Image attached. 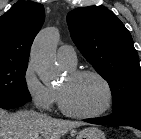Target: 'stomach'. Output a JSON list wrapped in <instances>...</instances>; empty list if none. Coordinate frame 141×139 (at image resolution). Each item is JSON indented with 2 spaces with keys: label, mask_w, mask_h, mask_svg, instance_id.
I'll return each mask as SVG.
<instances>
[{
  "label": "stomach",
  "mask_w": 141,
  "mask_h": 139,
  "mask_svg": "<svg viewBox=\"0 0 141 139\" xmlns=\"http://www.w3.org/2000/svg\"><path fill=\"white\" fill-rule=\"evenodd\" d=\"M76 139H106L104 133L97 127L84 128L77 135Z\"/></svg>",
  "instance_id": "stomach-1"
}]
</instances>
